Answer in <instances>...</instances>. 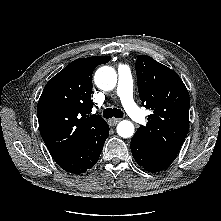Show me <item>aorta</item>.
I'll list each match as a JSON object with an SVG mask.
<instances>
[{"label": "aorta", "instance_id": "aorta-1", "mask_svg": "<svg viewBox=\"0 0 221 221\" xmlns=\"http://www.w3.org/2000/svg\"><path fill=\"white\" fill-rule=\"evenodd\" d=\"M94 81L98 88L109 91L117 84V74L112 67L103 66L96 71ZM117 133L123 138H129L134 134V125L128 120H123L117 125Z\"/></svg>", "mask_w": 221, "mask_h": 221}]
</instances>
